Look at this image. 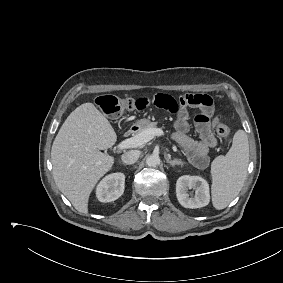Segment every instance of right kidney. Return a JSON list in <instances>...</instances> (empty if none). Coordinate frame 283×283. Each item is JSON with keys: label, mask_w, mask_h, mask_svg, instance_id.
<instances>
[{"label": "right kidney", "mask_w": 283, "mask_h": 283, "mask_svg": "<svg viewBox=\"0 0 283 283\" xmlns=\"http://www.w3.org/2000/svg\"><path fill=\"white\" fill-rule=\"evenodd\" d=\"M125 175L113 173L103 178L96 188V196L100 202H112L124 192Z\"/></svg>", "instance_id": "1"}]
</instances>
